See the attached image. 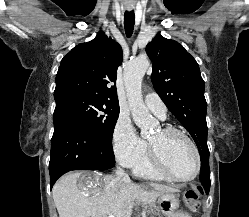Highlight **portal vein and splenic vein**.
<instances>
[{"mask_svg":"<svg viewBox=\"0 0 249 217\" xmlns=\"http://www.w3.org/2000/svg\"><path fill=\"white\" fill-rule=\"evenodd\" d=\"M108 217H114V215L110 214Z\"/></svg>","mask_w":249,"mask_h":217,"instance_id":"1","label":"portal vein and splenic vein"}]
</instances>
